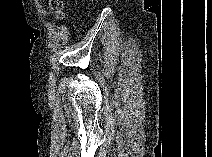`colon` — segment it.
<instances>
[{"label":"colon","instance_id":"5ec220e1","mask_svg":"<svg viewBox=\"0 0 212 157\" xmlns=\"http://www.w3.org/2000/svg\"><path fill=\"white\" fill-rule=\"evenodd\" d=\"M49 6L59 17L62 16L64 3L61 0H50Z\"/></svg>","mask_w":212,"mask_h":157}]
</instances>
